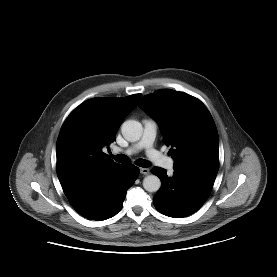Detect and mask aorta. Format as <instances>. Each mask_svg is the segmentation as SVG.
<instances>
[{
    "mask_svg": "<svg viewBox=\"0 0 277 277\" xmlns=\"http://www.w3.org/2000/svg\"><path fill=\"white\" fill-rule=\"evenodd\" d=\"M121 132L127 141L136 142L142 136L143 127L136 120H127L122 124ZM143 187L148 192H157L161 187V181L155 175H148L143 179Z\"/></svg>",
    "mask_w": 277,
    "mask_h": 277,
    "instance_id": "obj_1",
    "label": "aorta"
}]
</instances>
